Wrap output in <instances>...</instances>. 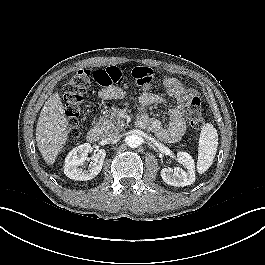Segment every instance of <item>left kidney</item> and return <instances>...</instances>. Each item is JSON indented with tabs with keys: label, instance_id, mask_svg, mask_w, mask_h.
I'll return each instance as SVG.
<instances>
[{
	"label": "left kidney",
	"instance_id": "5707ae66",
	"mask_svg": "<svg viewBox=\"0 0 265 265\" xmlns=\"http://www.w3.org/2000/svg\"><path fill=\"white\" fill-rule=\"evenodd\" d=\"M177 159L182 163L186 171L180 167L162 168L161 177L165 183L175 187H183L193 184L195 181V163L191 155L184 151L177 152Z\"/></svg>",
	"mask_w": 265,
	"mask_h": 265
}]
</instances>
